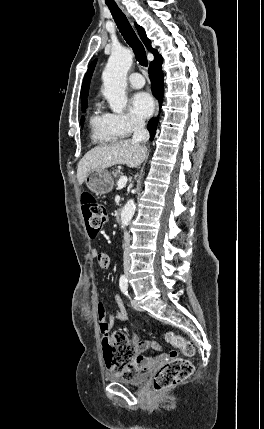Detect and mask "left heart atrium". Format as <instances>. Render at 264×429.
Instances as JSON below:
<instances>
[{
	"instance_id": "obj_1",
	"label": "left heart atrium",
	"mask_w": 264,
	"mask_h": 429,
	"mask_svg": "<svg viewBox=\"0 0 264 429\" xmlns=\"http://www.w3.org/2000/svg\"><path fill=\"white\" fill-rule=\"evenodd\" d=\"M131 112L138 118L149 117L154 110L152 97L146 92H138L131 98Z\"/></svg>"
}]
</instances>
